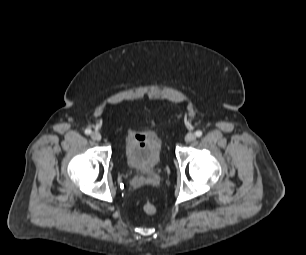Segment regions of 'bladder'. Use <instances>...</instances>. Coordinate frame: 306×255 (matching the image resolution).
I'll use <instances>...</instances> for the list:
<instances>
[{
  "label": "bladder",
  "mask_w": 306,
  "mask_h": 255,
  "mask_svg": "<svg viewBox=\"0 0 306 255\" xmlns=\"http://www.w3.org/2000/svg\"><path fill=\"white\" fill-rule=\"evenodd\" d=\"M162 139L155 131L143 132L141 139L127 135L125 157L128 167L138 173L148 174L157 169L161 162Z\"/></svg>",
  "instance_id": "bladder-1"
}]
</instances>
